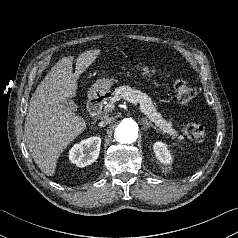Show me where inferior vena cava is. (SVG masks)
<instances>
[{
    "mask_svg": "<svg viewBox=\"0 0 238 238\" xmlns=\"http://www.w3.org/2000/svg\"><path fill=\"white\" fill-rule=\"evenodd\" d=\"M110 121H111V118H109L108 116H104L103 121H101L99 123V126H104V125L108 124Z\"/></svg>",
    "mask_w": 238,
    "mask_h": 238,
    "instance_id": "602c4592",
    "label": "inferior vena cava"
}]
</instances>
